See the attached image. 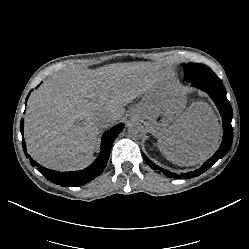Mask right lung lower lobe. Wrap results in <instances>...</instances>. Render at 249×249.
<instances>
[{
	"instance_id": "98d812e1",
	"label": "right lung lower lobe",
	"mask_w": 249,
	"mask_h": 249,
	"mask_svg": "<svg viewBox=\"0 0 249 249\" xmlns=\"http://www.w3.org/2000/svg\"><path fill=\"white\" fill-rule=\"evenodd\" d=\"M30 93L28 94L26 101ZM23 125H24V120L22 119L20 123V131L22 135H23ZM123 128H124L123 124H118L103 134L101 142V151L98 158L89 167L81 171L58 172L54 170H49L47 168L40 166L30 156L28 155L27 156L30 159L31 165L38 167V171L51 182L61 186H80L88 183L89 181L99 176L103 172L110 155L112 144L116 139V137L118 136V134L123 130ZM22 146L26 154V143L24 139H22Z\"/></svg>"
}]
</instances>
